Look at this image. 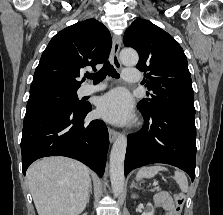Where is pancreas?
<instances>
[{
	"mask_svg": "<svg viewBox=\"0 0 223 215\" xmlns=\"http://www.w3.org/2000/svg\"><path fill=\"white\" fill-rule=\"evenodd\" d=\"M155 189H158V187H155ZM152 191H154V189H152Z\"/></svg>",
	"mask_w": 223,
	"mask_h": 215,
	"instance_id": "obj_1",
	"label": "pancreas"
}]
</instances>
